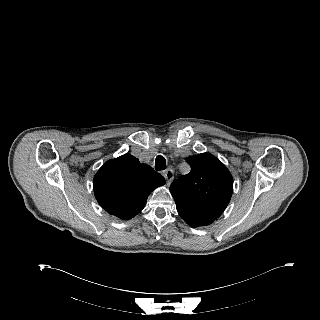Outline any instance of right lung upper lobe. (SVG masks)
<instances>
[{
  "label": "right lung upper lobe",
  "instance_id": "obj_1",
  "mask_svg": "<svg viewBox=\"0 0 320 320\" xmlns=\"http://www.w3.org/2000/svg\"><path fill=\"white\" fill-rule=\"evenodd\" d=\"M165 184L152 167L141 164L131 154L104 163L94 176V194L109 214L128 220L145 206L149 194Z\"/></svg>",
  "mask_w": 320,
  "mask_h": 320
}]
</instances>
